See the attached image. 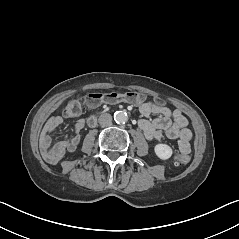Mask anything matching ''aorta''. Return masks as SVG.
<instances>
[{
  "label": "aorta",
  "instance_id": "obj_1",
  "mask_svg": "<svg viewBox=\"0 0 239 239\" xmlns=\"http://www.w3.org/2000/svg\"><path fill=\"white\" fill-rule=\"evenodd\" d=\"M129 119L127 112L117 111L114 113V120L117 124H125Z\"/></svg>",
  "mask_w": 239,
  "mask_h": 239
}]
</instances>
